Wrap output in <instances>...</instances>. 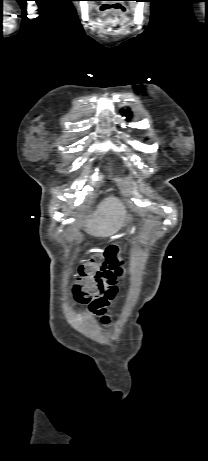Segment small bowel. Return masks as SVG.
<instances>
[{
  "instance_id": "1",
  "label": "small bowel",
  "mask_w": 208,
  "mask_h": 461,
  "mask_svg": "<svg viewBox=\"0 0 208 461\" xmlns=\"http://www.w3.org/2000/svg\"><path fill=\"white\" fill-rule=\"evenodd\" d=\"M117 287L115 279L105 283L103 292L90 304V311L99 318L103 325H109L111 318L107 314L108 305L116 298Z\"/></svg>"
}]
</instances>
